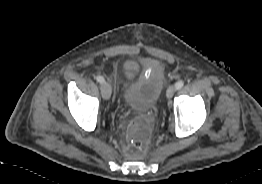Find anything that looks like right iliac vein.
I'll return each instance as SVG.
<instances>
[{"mask_svg": "<svg viewBox=\"0 0 262 184\" xmlns=\"http://www.w3.org/2000/svg\"><path fill=\"white\" fill-rule=\"evenodd\" d=\"M102 92V96L104 99H109L111 97L112 94V86L110 83H106L102 86L101 89Z\"/></svg>", "mask_w": 262, "mask_h": 184, "instance_id": "1", "label": "right iliac vein"}]
</instances>
